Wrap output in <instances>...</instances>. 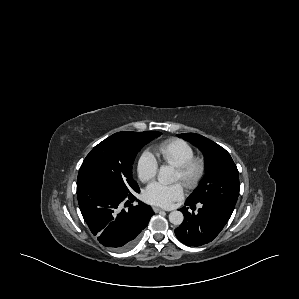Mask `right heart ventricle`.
<instances>
[{"mask_svg": "<svg viewBox=\"0 0 299 299\" xmlns=\"http://www.w3.org/2000/svg\"><path fill=\"white\" fill-rule=\"evenodd\" d=\"M157 154L167 164L179 166L194 156L193 147L185 140L172 138L159 143Z\"/></svg>", "mask_w": 299, "mask_h": 299, "instance_id": "obj_1", "label": "right heart ventricle"}]
</instances>
